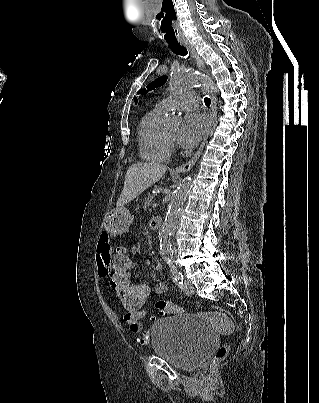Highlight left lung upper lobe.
Here are the masks:
<instances>
[{"label":"left lung upper lobe","mask_w":319,"mask_h":403,"mask_svg":"<svg viewBox=\"0 0 319 403\" xmlns=\"http://www.w3.org/2000/svg\"><path fill=\"white\" fill-rule=\"evenodd\" d=\"M167 81V76H162L156 79L155 81L149 83L146 87V89H142L139 91V94H146L147 91H151L159 86H162L165 82Z\"/></svg>","instance_id":"1"}]
</instances>
